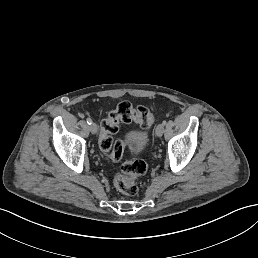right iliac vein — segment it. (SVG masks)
<instances>
[{
    "mask_svg": "<svg viewBox=\"0 0 258 258\" xmlns=\"http://www.w3.org/2000/svg\"><path fill=\"white\" fill-rule=\"evenodd\" d=\"M89 130H90L91 134L99 132L98 129H97V123L96 122H91Z\"/></svg>",
    "mask_w": 258,
    "mask_h": 258,
    "instance_id": "right-iliac-vein-1",
    "label": "right iliac vein"
}]
</instances>
